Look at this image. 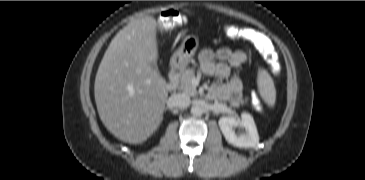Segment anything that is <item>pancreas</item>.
<instances>
[{"label":"pancreas","instance_id":"cf45deb5","mask_svg":"<svg viewBox=\"0 0 365 180\" xmlns=\"http://www.w3.org/2000/svg\"><path fill=\"white\" fill-rule=\"evenodd\" d=\"M194 78H195V73L192 69H187L186 71H184V73L182 74V77L179 80V90L189 96H196L197 90H196V87L192 84V80ZM243 103H244V101L241 100L238 102H234L233 104L239 105V104H243Z\"/></svg>","mask_w":365,"mask_h":180}]
</instances>
